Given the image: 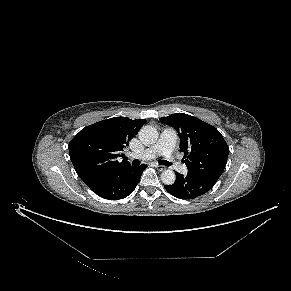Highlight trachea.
Masks as SVG:
<instances>
[{
  "label": "trachea",
  "instance_id": "1",
  "mask_svg": "<svg viewBox=\"0 0 291 291\" xmlns=\"http://www.w3.org/2000/svg\"><path fill=\"white\" fill-rule=\"evenodd\" d=\"M159 164H161V165H165V166H170V165H171V164H170L168 161H166V160H160V161H159ZM132 165L139 166V165H140V161H139V160H133Z\"/></svg>",
  "mask_w": 291,
  "mask_h": 291
}]
</instances>
